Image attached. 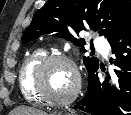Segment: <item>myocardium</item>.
Segmentation results:
<instances>
[{
	"label": "myocardium",
	"instance_id": "1",
	"mask_svg": "<svg viewBox=\"0 0 131 115\" xmlns=\"http://www.w3.org/2000/svg\"><path fill=\"white\" fill-rule=\"evenodd\" d=\"M54 63H66L71 67L75 75V85L69 96L66 98H53L44 88V75L47 68ZM32 86L41 100L54 107H63L71 104L79 95L81 90V74L76 63L68 56L52 54L45 56L35 67L32 79Z\"/></svg>",
	"mask_w": 131,
	"mask_h": 115
}]
</instances>
